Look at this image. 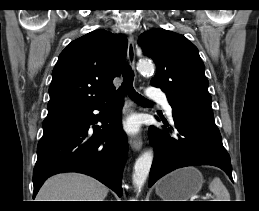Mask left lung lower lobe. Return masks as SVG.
Returning a JSON list of instances; mask_svg holds the SVG:
<instances>
[{"mask_svg": "<svg viewBox=\"0 0 259 211\" xmlns=\"http://www.w3.org/2000/svg\"><path fill=\"white\" fill-rule=\"evenodd\" d=\"M175 128L163 120L164 130L149 128L155 148L149 186L167 173L186 166L213 165L223 169L232 180L230 156L224 148L213 117L173 110Z\"/></svg>", "mask_w": 259, "mask_h": 211, "instance_id": "0a47b994", "label": "left lung lower lobe"}]
</instances>
